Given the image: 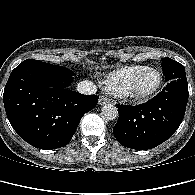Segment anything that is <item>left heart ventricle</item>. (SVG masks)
<instances>
[{
	"mask_svg": "<svg viewBox=\"0 0 195 195\" xmlns=\"http://www.w3.org/2000/svg\"><path fill=\"white\" fill-rule=\"evenodd\" d=\"M157 83V75L154 72L144 73L137 81L135 89L139 92L147 91Z\"/></svg>",
	"mask_w": 195,
	"mask_h": 195,
	"instance_id": "b2bd125f",
	"label": "left heart ventricle"
}]
</instances>
